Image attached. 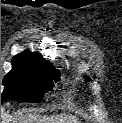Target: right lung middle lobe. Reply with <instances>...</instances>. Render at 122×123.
<instances>
[{"mask_svg": "<svg viewBox=\"0 0 122 123\" xmlns=\"http://www.w3.org/2000/svg\"><path fill=\"white\" fill-rule=\"evenodd\" d=\"M13 69L4 77V91L1 94V104L4 101L16 100L24 102H39L45 91L54 86L60 73L56 69H41L13 64Z\"/></svg>", "mask_w": 122, "mask_h": 123, "instance_id": "right-lung-middle-lobe-1", "label": "right lung middle lobe"}]
</instances>
